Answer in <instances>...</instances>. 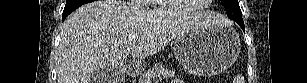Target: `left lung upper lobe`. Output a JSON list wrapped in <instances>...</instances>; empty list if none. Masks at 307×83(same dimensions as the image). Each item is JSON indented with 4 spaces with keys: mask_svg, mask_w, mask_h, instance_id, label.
Returning <instances> with one entry per match:
<instances>
[{
    "mask_svg": "<svg viewBox=\"0 0 307 83\" xmlns=\"http://www.w3.org/2000/svg\"><path fill=\"white\" fill-rule=\"evenodd\" d=\"M229 18L237 23H244L238 0H221Z\"/></svg>",
    "mask_w": 307,
    "mask_h": 83,
    "instance_id": "1",
    "label": "left lung upper lobe"
}]
</instances>
